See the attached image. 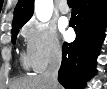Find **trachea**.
Here are the masks:
<instances>
[{"instance_id": "obj_1", "label": "trachea", "mask_w": 107, "mask_h": 89, "mask_svg": "<svg viewBox=\"0 0 107 89\" xmlns=\"http://www.w3.org/2000/svg\"><path fill=\"white\" fill-rule=\"evenodd\" d=\"M67 3L68 4H72V0H67Z\"/></svg>"}]
</instances>
